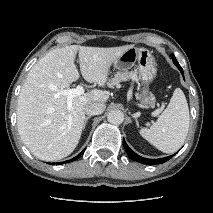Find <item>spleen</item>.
Wrapping results in <instances>:
<instances>
[{"label": "spleen", "instance_id": "3e777b00", "mask_svg": "<svg viewBox=\"0 0 213 213\" xmlns=\"http://www.w3.org/2000/svg\"><path fill=\"white\" fill-rule=\"evenodd\" d=\"M189 122L186 97L176 88L167 108L150 128L140 129V135L160 151L173 153L184 144Z\"/></svg>", "mask_w": 213, "mask_h": 213}]
</instances>
